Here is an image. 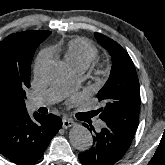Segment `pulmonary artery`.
Instances as JSON below:
<instances>
[{"mask_svg": "<svg viewBox=\"0 0 165 165\" xmlns=\"http://www.w3.org/2000/svg\"><path fill=\"white\" fill-rule=\"evenodd\" d=\"M84 69H75V72L80 75ZM63 91L61 88H51L41 94H38L28 101V107L35 110L39 107L48 106L62 97Z\"/></svg>", "mask_w": 165, "mask_h": 165, "instance_id": "e3ab8cb5", "label": "pulmonary artery"}]
</instances>
